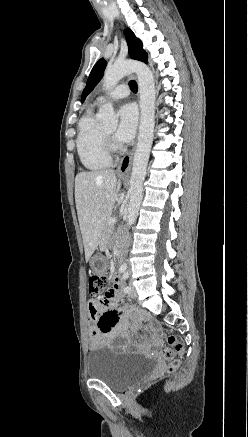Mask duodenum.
Segmentation results:
<instances>
[{
    "label": "duodenum",
    "instance_id": "obj_1",
    "mask_svg": "<svg viewBox=\"0 0 248 437\" xmlns=\"http://www.w3.org/2000/svg\"><path fill=\"white\" fill-rule=\"evenodd\" d=\"M123 255H124V248H123V246H119L118 247V256H119V258H122Z\"/></svg>",
    "mask_w": 248,
    "mask_h": 437
}]
</instances>
